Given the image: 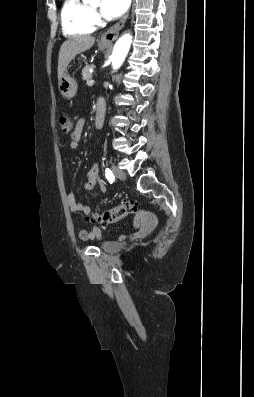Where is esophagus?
Masks as SVG:
<instances>
[{
    "label": "esophagus",
    "instance_id": "1",
    "mask_svg": "<svg viewBox=\"0 0 254 397\" xmlns=\"http://www.w3.org/2000/svg\"><path fill=\"white\" fill-rule=\"evenodd\" d=\"M129 12H127L116 24L111 26L106 32H104L100 38L103 43H112L115 41L119 35L120 30L123 28Z\"/></svg>",
    "mask_w": 254,
    "mask_h": 397
}]
</instances>
